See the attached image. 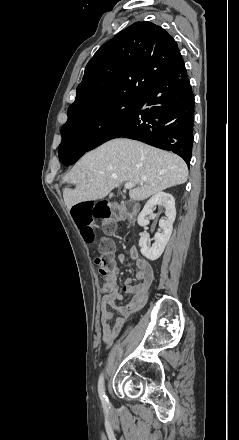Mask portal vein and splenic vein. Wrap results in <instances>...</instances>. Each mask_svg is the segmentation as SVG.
Listing matches in <instances>:
<instances>
[{"label":"portal vein and splenic vein","mask_w":239,"mask_h":440,"mask_svg":"<svg viewBox=\"0 0 239 440\" xmlns=\"http://www.w3.org/2000/svg\"><path fill=\"white\" fill-rule=\"evenodd\" d=\"M125 188L126 190H130V188H135V184H132V182H127V184H125Z\"/></svg>","instance_id":"obj_1"}]
</instances>
